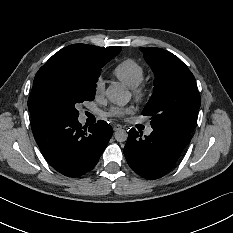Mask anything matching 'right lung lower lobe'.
I'll return each mask as SVG.
<instances>
[{
  "label": "right lung lower lobe",
  "instance_id": "right-lung-lower-lobe-1",
  "mask_svg": "<svg viewBox=\"0 0 233 233\" xmlns=\"http://www.w3.org/2000/svg\"><path fill=\"white\" fill-rule=\"evenodd\" d=\"M32 132L55 170L68 177H79L95 167L113 130L102 120L87 129L77 118L35 123Z\"/></svg>",
  "mask_w": 233,
  "mask_h": 233
}]
</instances>
